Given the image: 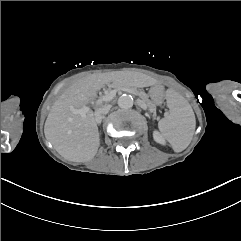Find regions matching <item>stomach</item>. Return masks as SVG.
<instances>
[{
    "label": "stomach",
    "instance_id": "0dacf381",
    "mask_svg": "<svg viewBox=\"0 0 241 241\" xmlns=\"http://www.w3.org/2000/svg\"><path fill=\"white\" fill-rule=\"evenodd\" d=\"M149 96L154 104H162L165 97L164 87L162 85H155L151 87L149 90Z\"/></svg>",
    "mask_w": 241,
    "mask_h": 241
}]
</instances>
